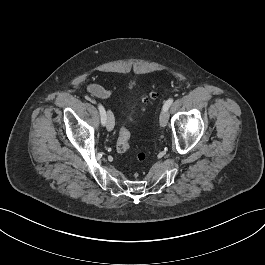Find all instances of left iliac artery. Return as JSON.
Wrapping results in <instances>:
<instances>
[{
  "label": "left iliac artery",
  "mask_w": 265,
  "mask_h": 265,
  "mask_svg": "<svg viewBox=\"0 0 265 265\" xmlns=\"http://www.w3.org/2000/svg\"><path fill=\"white\" fill-rule=\"evenodd\" d=\"M172 103H173V98H169V99L164 103L163 109L167 111V110L169 109V107L171 106Z\"/></svg>",
  "instance_id": "44dca946"
}]
</instances>
